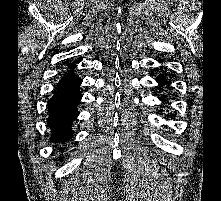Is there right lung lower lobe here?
<instances>
[{
    "label": "right lung lower lobe",
    "mask_w": 221,
    "mask_h": 201,
    "mask_svg": "<svg viewBox=\"0 0 221 201\" xmlns=\"http://www.w3.org/2000/svg\"><path fill=\"white\" fill-rule=\"evenodd\" d=\"M82 80L69 70L59 81L55 94L48 101V126L52 130L53 142L68 141L73 135L71 126L79 115L77 104L82 95L79 87Z\"/></svg>",
    "instance_id": "obj_1"
}]
</instances>
